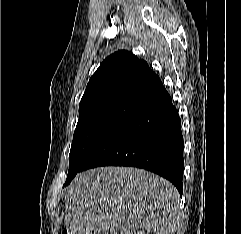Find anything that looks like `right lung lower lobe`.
<instances>
[{"label":"right lung lower lobe","mask_w":241,"mask_h":234,"mask_svg":"<svg viewBox=\"0 0 241 234\" xmlns=\"http://www.w3.org/2000/svg\"><path fill=\"white\" fill-rule=\"evenodd\" d=\"M183 147L178 111L161 86L99 142L81 171L107 165L143 168L168 179L182 195Z\"/></svg>","instance_id":"1"}]
</instances>
